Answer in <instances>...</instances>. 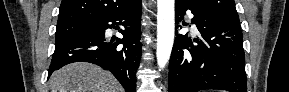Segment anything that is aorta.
I'll return each mask as SVG.
<instances>
[{
    "label": "aorta",
    "mask_w": 289,
    "mask_h": 92,
    "mask_svg": "<svg viewBox=\"0 0 289 92\" xmlns=\"http://www.w3.org/2000/svg\"><path fill=\"white\" fill-rule=\"evenodd\" d=\"M174 0L157 1V63L164 68L174 43Z\"/></svg>",
    "instance_id": "762f6f07"
}]
</instances>
